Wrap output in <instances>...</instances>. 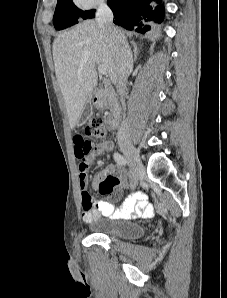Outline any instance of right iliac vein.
<instances>
[{"instance_id":"right-iliac-vein-1","label":"right iliac vein","mask_w":227,"mask_h":298,"mask_svg":"<svg viewBox=\"0 0 227 298\" xmlns=\"http://www.w3.org/2000/svg\"><path fill=\"white\" fill-rule=\"evenodd\" d=\"M120 148L131 166L132 184L136 186L141 173L143 172V164L141 162L137 149L130 142H124L120 145Z\"/></svg>"}]
</instances>
